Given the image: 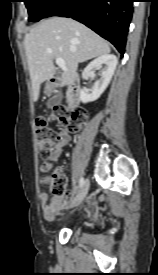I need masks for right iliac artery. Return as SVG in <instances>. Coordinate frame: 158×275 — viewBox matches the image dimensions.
<instances>
[{
  "mask_svg": "<svg viewBox=\"0 0 158 275\" xmlns=\"http://www.w3.org/2000/svg\"><path fill=\"white\" fill-rule=\"evenodd\" d=\"M84 183H85L84 179L80 178L79 184L81 188L84 186Z\"/></svg>",
  "mask_w": 158,
  "mask_h": 275,
  "instance_id": "1",
  "label": "right iliac artery"
}]
</instances>
